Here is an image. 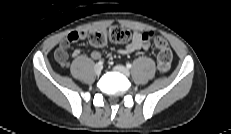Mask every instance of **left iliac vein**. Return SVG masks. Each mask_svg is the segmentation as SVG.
Here are the masks:
<instances>
[{"mask_svg":"<svg viewBox=\"0 0 231 134\" xmlns=\"http://www.w3.org/2000/svg\"><path fill=\"white\" fill-rule=\"evenodd\" d=\"M114 70H115L116 72H119V73L123 74V75L126 76V77H130V72H129V70H128L126 67L122 66V65H117V66H115V67H114Z\"/></svg>","mask_w":231,"mask_h":134,"instance_id":"4c4485c4","label":"left iliac vein"}]
</instances>
